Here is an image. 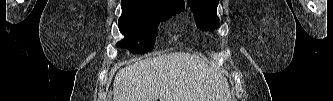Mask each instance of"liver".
Returning <instances> with one entry per match:
<instances>
[{"instance_id":"obj_1","label":"liver","mask_w":333,"mask_h":101,"mask_svg":"<svg viewBox=\"0 0 333 101\" xmlns=\"http://www.w3.org/2000/svg\"><path fill=\"white\" fill-rule=\"evenodd\" d=\"M227 79L196 55L175 52L136 62L115 77L114 101H230Z\"/></svg>"}]
</instances>
